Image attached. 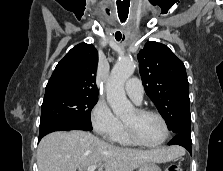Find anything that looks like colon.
<instances>
[{
	"label": "colon",
	"instance_id": "colon-1",
	"mask_svg": "<svg viewBox=\"0 0 223 171\" xmlns=\"http://www.w3.org/2000/svg\"><path fill=\"white\" fill-rule=\"evenodd\" d=\"M165 171H182L177 165H169Z\"/></svg>",
	"mask_w": 223,
	"mask_h": 171
}]
</instances>
